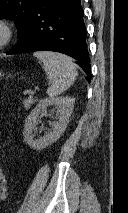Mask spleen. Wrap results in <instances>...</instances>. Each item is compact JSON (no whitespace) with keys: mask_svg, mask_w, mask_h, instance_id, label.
Wrapping results in <instances>:
<instances>
[{"mask_svg":"<svg viewBox=\"0 0 128 213\" xmlns=\"http://www.w3.org/2000/svg\"><path fill=\"white\" fill-rule=\"evenodd\" d=\"M34 56L43 63V68L51 82L47 89L50 97H56L67 90L77 77L76 65L66 55L49 52H34Z\"/></svg>","mask_w":128,"mask_h":213,"instance_id":"3e777b00","label":"spleen"}]
</instances>
